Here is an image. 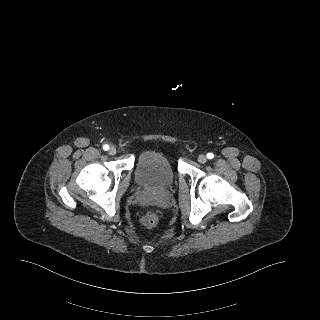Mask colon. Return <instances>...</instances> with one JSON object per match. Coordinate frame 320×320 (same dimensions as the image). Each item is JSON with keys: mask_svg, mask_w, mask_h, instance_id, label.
<instances>
[{"mask_svg": "<svg viewBox=\"0 0 320 320\" xmlns=\"http://www.w3.org/2000/svg\"><path fill=\"white\" fill-rule=\"evenodd\" d=\"M158 221L159 217L156 212H147L140 219L141 224L146 227H153L158 223Z\"/></svg>", "mask_w": 320, "mask_h": 320, "instance_id": "obj_1", "label": "colon"}]
</instances>
